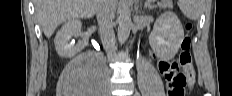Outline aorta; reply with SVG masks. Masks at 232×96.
<instances>
[{"label":"aorta","mask_w":232,"mask_h":96,"mask_svg":"<svg viewBox=\"0 0 232 96\" xmlns=\"http://www.w3.org/2000/svg\"><path fill=\"white\" fill-rule=\"evenodd\" d=\"M129 6L130 5L127 1H123L118 26V40L120 43H124L128 39L132 26L131 11Z\"/></svg>","instance_id":"762f6f07"}]
</instances>
